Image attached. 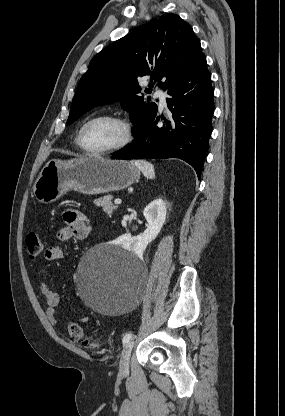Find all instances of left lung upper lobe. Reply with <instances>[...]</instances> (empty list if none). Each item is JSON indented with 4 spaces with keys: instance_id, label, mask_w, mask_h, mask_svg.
<instances>
[{
    "instance_id": "1",
    "label": "left lung upper lobe",
    "mask_w": 285,
    "mask_h": 416,
    "mask_svg": "<svg viewBox=\"0 0 285 416\" xmlns=\"http://www.w3.org/2000/svg\"><path fill=\"white\" fill-rule=\"evenodd\" d=\"M203 55L191 26L178 15L164 14L152 19L91 60L72 100L67 124L95 106L119 100L130 112L135 135L155 118L158 109L155 103L139 95L138 80L150 76V89L158 82L166 90Z\"/></svg>"
}]
</instances>
